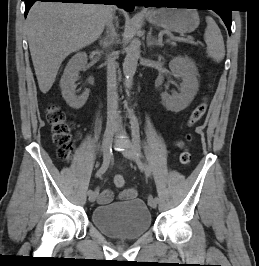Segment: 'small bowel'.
Wrapping results in <instances>:
<instances>
[{
  "label": "small bowel",
  "mask_w": 259,
  "mask_h": 266,
  "mask_svg": "<svg viewBox=\"0 0 259 266\" xmlns=\"http://www.w3.org/2000/svg\"><path fill=\"white\" fill-rule=\"evenodd\" d=\"M176 145L178 147H182L183 146V142L182 141H177ZM137 196V191L134 188H127L124 191H122L120 193V198L124 199V200H128V199H133ZM113 199V193L112 191L106 189L103 190L99 196H98V202L100 204H107L109 202H111Z\"/></svg>",
  "instance_id": "1"
}]
</instances>
